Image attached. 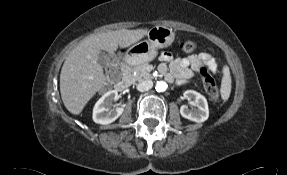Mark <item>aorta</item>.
I'll list each match as a JSON object with an SVG mask.
<instances>
[{
	"label": "aorta",
	"instance_id": "aorta-1",
	"mask_svg": "<svg viewBox=\"0 0 287 175\" xmlns=\"http://www.w3.org/2000/svg\"><path fill=\"white\" fill-rule=\"evenodd\" d=\"M168 85L165 81H158L157 84H156V90L158 92H164L166 91Z\"/></svg>",
	"mask_w": 287,
	"mask_h": 175
}]
</instances>
